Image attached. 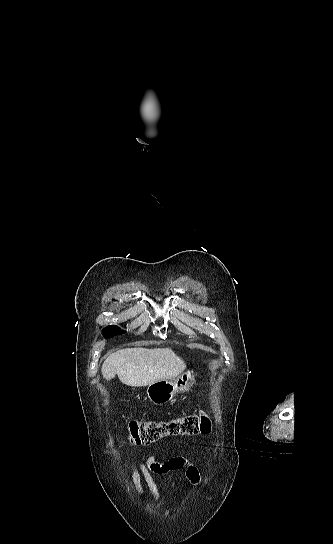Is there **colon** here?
I'll return each mask as SVG.
<instances>
[{"instance_id": "1", "label": "colon", "mask_w": 333, "mask_h": 544, "mask_svg": "<svg viewBox=\"0 0 333 544\" xmlns=\"http://www.w3.org/2000/svg\"><path fill=\"white\" fill-rule=\"evenodd\" d=\"M212 422L204 415H193L165 420H136L128 426V440L132 446L149 445L165 437L207 434Z\"/></svg>"}]
</instances>
